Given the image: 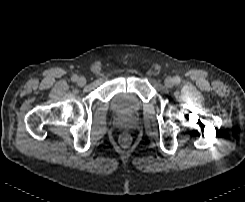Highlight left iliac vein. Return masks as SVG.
<instances>
[{"mask_svg":"<svg viewBox=\"0 0 245 202\" xmlns=\"http://www.w3.org/2000/svg\"><path fill=\"white\" fill-rule=\"evenodd\" d=\"M165 85H166L167 87H172V86L174 85V80H173L171 77H167V78L165 79Z\"/></svg>","mask_w":245,"mask_h":202,"instance_id":"obj_1","label":"left iliac vein"}]
</instances>
